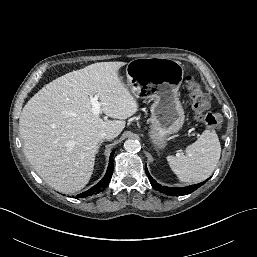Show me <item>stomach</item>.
<instances>
[{
  "mask_svg": "<svg viewBox=\"0 0 257 257\" xmlns=\"http://www.w3.org/2000/svg\"><path fill=\"white\" fill-rule=\"evenodd\" d=\"M127 84L135 96L149 92L153 99L149 137L163 147L167 137L178 132L184 123L179 88L184 71L179 61L167 58H138L126 66Z\"/></svg>",
  "mask_w": 257,
  "mask_h": 257,
  "instance_id": "0dacf381",
  "label": "stomach"
}]
</instances>
